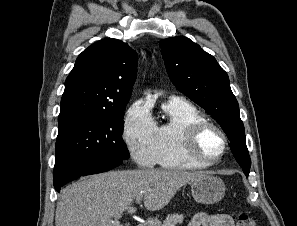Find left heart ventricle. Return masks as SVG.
Returning <instances> with one entry per match:
<instances>
[{
  "mask_svg": "<svg viewBox=\"0 0 297 226\" xmlns=\"http://www.w3.org/2000/svg\"><path fill=\"white\" fill-rule=\"evenodd\" d=\"M221 144L219 135L214 130H208L200 138L199 150L204 156L213 158L218 155Z\"/></svg>",
  "mask_w": 297,
  "mask_h": 226,
  "instance_id": "left-heart-ventricle-1",
  "label": "left heart ventricle"
}]
</instances>
